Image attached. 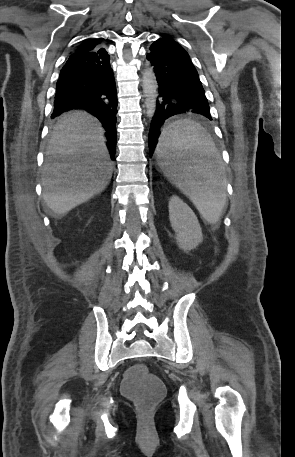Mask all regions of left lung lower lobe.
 <instances>
[{
	"mask_svg": "<svg viewBox=\"0 0 295 457\" xmlns=\"http://www.w3.org/2000/svg\"><path fill=\"white\" fill-rule=\"evenodd\" d=\"M147 58L154 66L159 86V99L149 131L150 156L161 136V127L171 116L197 113L212 119L198 72L186 50L159 38L149 48Z\"/></svg>",
	"mask_w": 295,
	"mask_h": 457,
	"instance_id": "1",
	"label": "left lung lower lobe"
}]
</instances>
